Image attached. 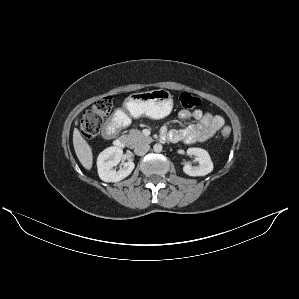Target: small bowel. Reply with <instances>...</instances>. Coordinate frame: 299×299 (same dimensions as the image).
I'll return each instance as SVG.
<instances>
[{
    "label": "small bowel",
    "mask_w": 299,
    "mask_h": 299,
    "mask_svg": "<svg viewBox=\"0 0 299 299\" xmlns=\"http://www.w3.org/2000/svg\"><path fill=\"white\" fill-rule=\"evenodd\" d=\"M178 116L182 121L193 119L196 122L182 130H168L165 127L162 135L173 142H183L185 144L204 142L218 133L225 124L224 118L220 115H212L200 109L193 111L181 110ZM112 121L119 123V117L116 116Z\"/></svg>",
    "instance_id": "1"
}]
</instances>
